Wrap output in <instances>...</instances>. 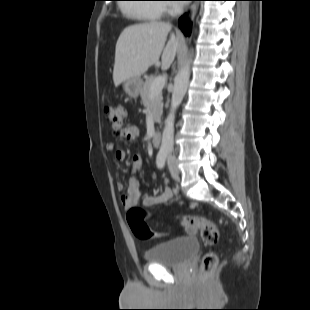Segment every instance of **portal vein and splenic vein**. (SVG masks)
I'll use <instances>...</instances> for the list:
<instances>
[{"label": "portal vein and splenic vein", "instance_id": "portal-vein-and-splenic-vein-1", "mask_svg": "<svg viewBox=\"0 0 310 310\" xmlns=\"http://www.w3.org/2000/svg\"><path fill=\"white\" fill-rule=\"evenodd\" d=\"M166 79L163 76L156 77L154 82L151 85L150 88V95L153 97L157 93L161 92L164 85H165Z\"/></svg>", "mask_w": 310, "mask_h": 310}]
</instances>
